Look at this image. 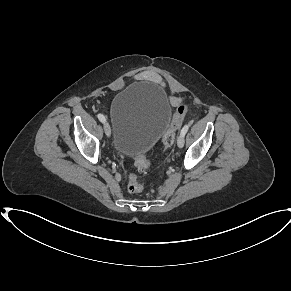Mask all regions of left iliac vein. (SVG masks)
<instances>
[{
  "mask_svg": "<svg viewBox=\"0 0 291 291\" xmlns=\"http://www.w3.org/2000/svg\"><path fill=\"white\" fill-rule=\"evenodd\" d=\"M185 138L184 135L180 134L177 140V146L182 148L184 146Z\"/></svg>",
  "mask_w": 291,
  "mask_h": 291,
  "instance_id": "left-iliac-vein-1",
  "label": "left iliac vein"
}]
</instances>
